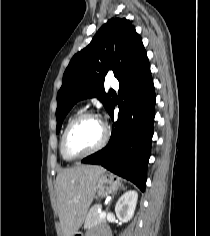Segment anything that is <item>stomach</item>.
Wrapping results in <instances>:
<instances>
[{"label": "stomach", "instance_id": "0dacf381", "mask_svg": "<svg viewBox=\"0 0 210 236\" xmlns=\"http://www.w3.org/2000/svg\"><path fill=\"white\" fill-rule=\"evenodd\" d=\"M96 186V197L103 198L115 193L121 187V182L113 175L102 174L99 176ZM75 236L81 235L77 232Z\"/></svg>", "mask_w": 210, "mask_h": 236}]
</instances>
